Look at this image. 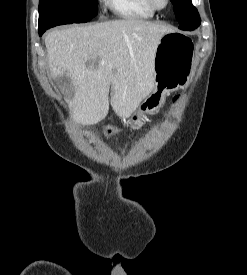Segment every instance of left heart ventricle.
Masks as SVG:
<instances>
[{"mask_svg":"<svg viewBox=\"0 0 247 275\" xmlns=\"http://www.w3.org/2000/svg\"><path fill=\"white\" fill-rule=\"evenodd\" d=\"M159 5H163L165 0H156Z\"/></svg>","mask_w":247,"mask_h":275,"instance_id":"left-heart-ventricle-1","label":"left heart ventricle"}]
</instances>
